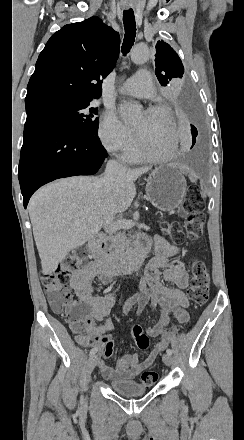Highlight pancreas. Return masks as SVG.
<instances>
[{"label":"pancreas","instance_id":"pancreas-1","mask_svg":"<svg viewBox=\"0 0 244 440\" xmlns=\"http://www.w3.org/2000/svg\"><path fill=\"white\" fill-rule=\"evenodd\" d=\"M113 242L108 248V244L104 242L107 250L110 254H105V258H110V260H120L125 252L126 248H129L131 240H127L126 232H118L116 236L112 238Z\"/></svg>","mask_w":244,"mask_h":440}]
</instances>
